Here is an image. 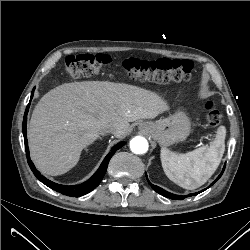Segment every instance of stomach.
Masks as SVG:
<instances>
[{
	"label": "stomach",
	"instance_id": "0dacf381",
	"mask_svg": "<svg viewBox=\"0 0 250 250\" xmlns=\"http://www.w3.org/2000/svg\"><path fill=\"white\" fill-rule=\"evenodd\" d=\"M141 128L161 146L166 147L184 141L190 133L191 122L183 111H177L167 118L144 122Z\"/></svg>",
	"mask_w": 250,
	"mask_h": 250
}]
</instances>
